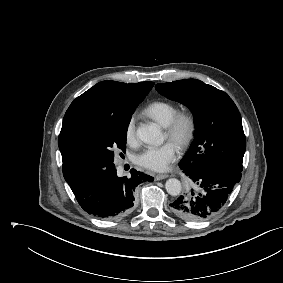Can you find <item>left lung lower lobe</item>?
Returning a JSON list of instances; mask_svg holds the SVG:
<instances>
[{"label": "left lung lower lobe", "instance_id": "obj_1", "mask_svg": "<svg viewBox=\"0 0 283 283\" xmlns=\"http://www.w3.org/2000/svg\"><path fill=\"white\" fill-rule=\"evenodd\" d=\"M181 169L190 179L192 189L170 207L176 216L188 221H203L215 215L241 179V172L227 167H208L199 171Z\"/></svg>", "mask_w": 283, "mask_h": 283}]
</instances>
